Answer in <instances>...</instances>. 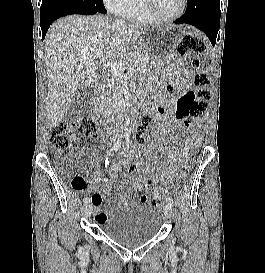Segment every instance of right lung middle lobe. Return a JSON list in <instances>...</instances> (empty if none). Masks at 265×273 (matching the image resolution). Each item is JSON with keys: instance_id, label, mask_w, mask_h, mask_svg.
<instances>
[{"instance_id": "obj_1", "label": "right lung middle lobe", "mask_w": 265, "mask_h": 273, "mask_svg": "<svg viewBox=\"0 0 265 273\" xmlns=\"http://www.w3.org/2000/svg\"><path fill=\"white\" fill-rule=\"evenodd\" d=\"M51 3L68 4L79 8H94L101 13L107 12L103 5V0H42L41 6Z\"/></svg>"}]
</instances>
